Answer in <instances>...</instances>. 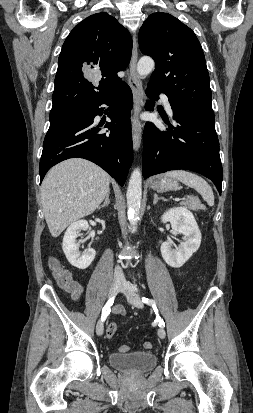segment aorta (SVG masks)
<instances>
[{
	"mask_svg": "<svg viewBox=\"0 0 253 413\" xmlns=\"http://www.w3.org/2000/svg\"><path fill=\"white\" fill-rule=\"evenodd\" d=\"M154 66L155 63L151 57L143 56L137 63V73L141 77L147 76L152 72ZM126 197L128 219L131 226L134 227L139 219L142 198V174L139 168L134 169L130 176Z\"/></svg>",
	"mask_w": 253,
	"mask_h": 413,
	"instance_id": "762f6f07",
	"label": "aorta"
}]
</instances>
